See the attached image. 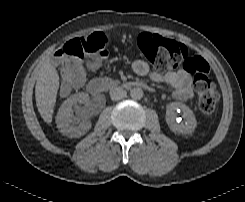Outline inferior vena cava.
I'll return each instance as SVG.
<instances>
[{"mask_svg":"<svg viewBox=\"0 0 245 202\" xmlns=\"http://www.w3.org/2000/svg\"><path fill=\"white\" fill-rule=\"evenodd\" d=\"M126 91L121 87H116L110 90V97L112 100H121L126 97Z\"/></svg>","mask_w":245,"mask_h":202,"instance_id":"inferior-vena-cava-1","label":"inferior vena cava"}]
</instances>
